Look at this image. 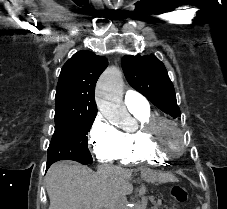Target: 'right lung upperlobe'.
<instances>
[{
	"label": "right lung upper lobe",
	"instance_id": "obj_1",
	"mask_svg": "<svg viewBox=\"0 0 227 209\" xmlns=\"http://www.w3.org/2000/svg\"><path fill=\"white\" fill-rule=\"evenodd\" d=\"M104 56L79 51L63 66L55 96V114H97L94 91L106 69Z\"/></svg>",
	"mask_w": 227,
	"mask_h": 209
}]
</instances>
